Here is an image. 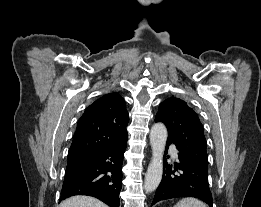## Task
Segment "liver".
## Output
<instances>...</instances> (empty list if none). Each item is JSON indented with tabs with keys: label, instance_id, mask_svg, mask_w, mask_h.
Returning <instances> with one entry per match:
<instances>
[{
	"label": "liver",
	"instance_id": "1",
	"mask_svg": "<svg viewBox=\"0 0 261 207\" xmlns=\"http://www.w3.org/2000/svg\"><path fill=\"white\" fill-rule=\"evenodd\" d=\"M59 207H108L100 200L89 196H73L64 200Z\"/></svg>",
	"mask_w": 261,
	"mask_h": 207
}]
</instances>
